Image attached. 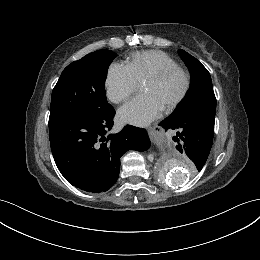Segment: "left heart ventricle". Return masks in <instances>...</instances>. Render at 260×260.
Wrapping results in <instances>:
<instances>
[{"label":"left heart ventricle","mask_w":260,"mask_h":260,"mask_svg":"<svg viewBox=\"0 0 260 260\" xmlns=\"http://www.w3.org/2000/svg\"><path fill=\"white\" fill-rule=\"evenodd\" d=\"M184 87V78L181 74H174L160 83H145L143 92L155 96L163 106L175 99Z\"/></svg>","instance_id":"b2bd125f"}]
</instances>
